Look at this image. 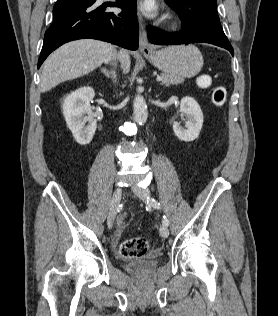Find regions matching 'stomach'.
Returning <instances> with one entry per match:
<instances>
[{
	"instance_id": "obj_1",
	"label": "stomach",
	"mask_w": 278,
	"mask_h": 316,
	"mask_svg": "<svg viewBox=\"0 0 278 316\" xmlns=\"http://www.w3.org/2000/svg\"><path fill=\"white\" fill-rule=\"evenodd\" d=\"M145 57L165 74L182 78L196 76L203 66L202 54L193 45L170 46Z\"/></svg>"
}]
</instances>
